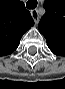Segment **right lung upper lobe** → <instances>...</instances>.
<instances>
[{"label": "right lung upper lobe", "instance_id": "1", "mask_svg": "<svg viewBox=\"0 0 65 89\" xmlns=\"http://www.w3.org/2000/svg\"><path fill=\"white\" fill-rule=\"evenodd\" d=\"M33 25V18L23 2L0 0V56L15 51L22 35Z\"/></svg>", "mask_w": 65, "mask_h": 89}]
</instances>
